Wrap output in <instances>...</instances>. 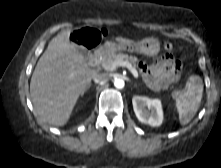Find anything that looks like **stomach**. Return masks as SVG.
<instances>
[{"label":"stomach","mask_w":221,"mask_h":168,"mask_svg":"<svg viewBox=\"0 0 221 168\" xmlns=\"http://www.w3.org/2000/svg\"><path fill=\"white\" fill-rule=\"evenodd\" d=\"M117 51H136L147 56H155L160 51V42L157 39L150 37L132 44L106 42L102 46V52L106 55Z\"/></svg>","instance_id":"0dacf381"}]
</instances>
